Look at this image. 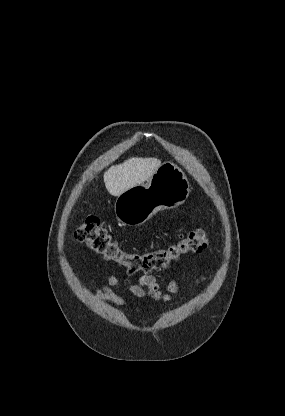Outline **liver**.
<instances>
[{"instance_id":"1","label":"liver","mask_w":285,"mask_h":416,"mask_svg":"<svg viewBox=\"0 0 285 416\" xmlns=\"http://www.w3.org/2000/svg\"><path fill=\"white\" fill-rule=\"evenodd\" d=\"M161 166L157 158H130L119 166H111L103 176L111 196H120L126 190L147 182Z\"/></svg>"}]
</instances>
